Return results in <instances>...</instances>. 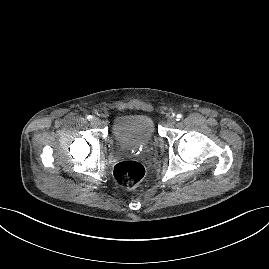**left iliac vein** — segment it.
I'll return each mask as SVG.
<instances>
[{
	"label": "left iliac vein",
	"mask_w": 269,
	"mask_h": 269,
	"mask_svg": "<svg viewBox=\"0 0 269 269\" xmlns=\"http://www.w3.org/2000/svg\"><path fill=\"white\" fill-rule=\"evenodd\" d=\"M175 123H176V118L175 117L168 118V120H167V126L168 127L173 126Z\"/></svg>",
	"instance_id": "obj_1"
}]
</instances>
